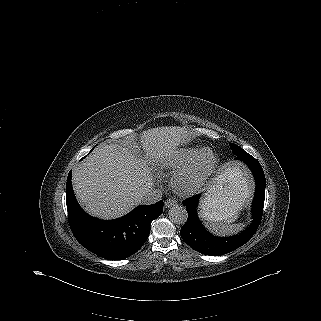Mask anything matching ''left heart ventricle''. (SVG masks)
<instances>
[{
	"mask_svg": "<svg viewBox=\"0 0 321 321\" xmlns=\"http://www.w3.org/2000/svg\"><path fill=\"white\" fill-rule=\"evenodd\" d=\"M208 161V156H204L203 163H206Z\"/></svg>",
	"mask_w": 321,
	"mask_h": 321,
	"instance_id": "1",
	"label": "left heart ventricle"
}]
</instances>
